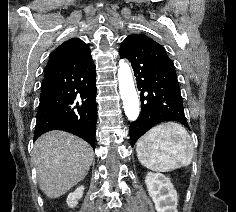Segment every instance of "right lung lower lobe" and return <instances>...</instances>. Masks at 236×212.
<instances>
[{"label":"right lung lower lobe","mask_w":236,"mask_h":212,"mask_svg":"<svg viewBox=\"0 0 236 212\" xmlns=\"http://www.w3.org/2000/svg\"><path fill=\"white\" fill-rule=\"evenodd\" d=\"M95 65L86 45L44 70L34 141L51 130L75 134L95 148Z\"/></svg>","instance_id":"obj_1"}]
</instances>
